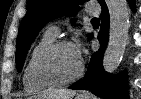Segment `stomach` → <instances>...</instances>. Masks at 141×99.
Returning a JSON list of instances; mask_svg holds the SVG:
<instances>
[{"instance_id": "0dacf381", "label": "stomach", "mask_w": 141, "mask_h": 99, "mask_svg": "<svg viewBox=\"0 0 141 99\" xmlns=\"http://www.w3.org/2000/svg\"><path fill=\"white\" fill-rule=\"evenodd\" d=\"M34 99H38V98H34ZM76 99H86L84 96H77Z\"/></svg>"}]
</instances>
